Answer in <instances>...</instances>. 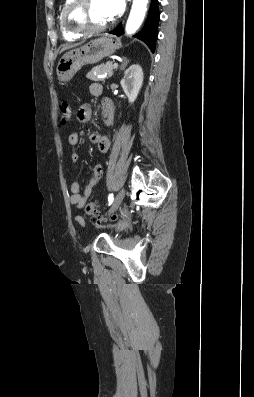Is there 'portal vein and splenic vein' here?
Wrapping results in <instances>:
<instances>
[{
  "instance_id": "obj_1",
  "label": "portal vein and splenic vein",
  "mask_w": 254,
  "mask_h": 397,
  "mask_svg": "<svg viewBox=\"0 0 254 397\" xmlns=\"http://www.w3.org/2000/svg\"><path fill=\"white\" fill-rule=\"evenodd\" d=\"M113 67H114V68H117V67H118V63H114V64H113ZM99 77L102 78V77H104V75H103V76H99Z\"/></svg>"
}]
</instances>
